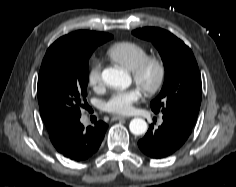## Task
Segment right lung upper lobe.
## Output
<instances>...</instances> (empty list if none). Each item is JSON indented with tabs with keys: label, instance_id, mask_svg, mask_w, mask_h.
I'll return each mask as SVG.
<instances>
[{
	"label": "right lung upper lobe",
	"instance_id": "cb5924a9",
	"mask_svg": "<svg viewBox=\"0 0 236 187\" xmlns=\"http://www.w3.org/2000/svg\"><path fill=\"white\" fill-rule=\"evenodd\" d=\"M105 37H113V36L107 33L80 30V31H76L68 35H65L59 38L57 41L80 45V44L89 42L91 40H95L98 38H105ZM43 121L49 132L51 142L53 143L55 147H57L62 142V139L64 138L66 132L69 130L71 125L50 122L47 120H43Z\"/></svg>",
	"mask_w": 236,
	"mask_h": 187
}]
</instances>
